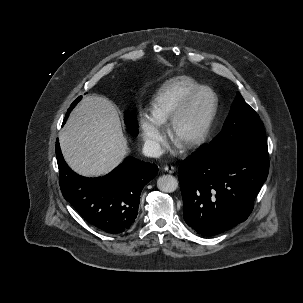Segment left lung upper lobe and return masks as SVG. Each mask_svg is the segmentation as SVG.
<instances>
[{
    "instance_id": "5c2ea615",
    "label": "left lung upper lobe",
    "mask_w": 303,
    "mask_h": 303,
    "mask_svg": "<svg viewBox=\"0 0 303 303\" xmlns=\"http://www.w3.org/2000/svg\"><path fill=\"white\" fill-rule=\"evenodd\" d=\"M208 148L216 150L233 148L268 157L263 124L257 113L239 93L231 106L222 131L213 139Z\"/></svg>"
}]
</instances>
